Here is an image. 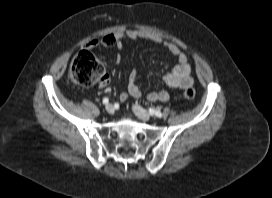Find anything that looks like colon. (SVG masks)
<instances>
[{"label":"colon","mask_w":272,"mask_h":198,"mask_svg":"<svg viewBox=\"0 0 272 198\" xmlns=\"http://www.w3.org/2000/svg\"><path fill=\"white\" fill-rule=\"evenodd\" d=\"M104 76L102 63L88 50L78 52L72 60L69 78L75 85L86 87L100 81ZM186 101L195 98V91L188 88L183 93Z\"/></svg>","instance_id":"obj_1"}]
</instances>
